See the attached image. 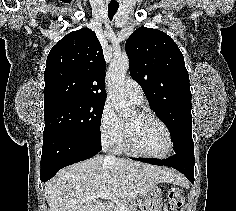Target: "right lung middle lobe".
<instances>
[{
	"label": "right lung middle lobe",
	"instance_id": "right-lung-middle-lobe-1",
	"mask_svg": "<svg viewBox=\"0 0 236 211\" xmlns=\"http://www.w3.org/2000/svg\"><path fill=\"white\" fill-rule=\"evenodd\" d=\"M105 101L63 99L44 106L45 128L50 133H73L101 141L100 123Z\"/></svg>",
	"mask_w": 236,
	"mask_h": 211
}]
</instances>
